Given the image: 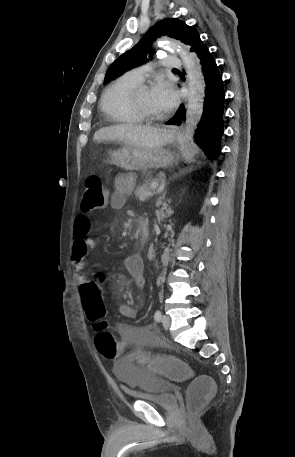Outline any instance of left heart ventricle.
I'll return each instance as SVG.
<instances>
[{
  "instance_id": "obj_1",
  "label": "left heart ventricle",
  "mask_w": 295,
  "mask_h": 457,
  "mask_svg": "<svg viewBox=\"0 0 295 457\" xmlns=\"http://www.w3.org/2000/svg\"><path fill=\"white\" fill-rule=\"evenodd\" d=\"M139 102L141 106L151 114H161L162 111L155 104L152 98L151 89H144L139 93Z\"/></svg>"
}]
</instances>
